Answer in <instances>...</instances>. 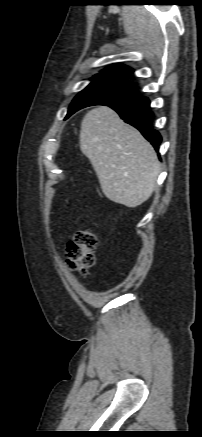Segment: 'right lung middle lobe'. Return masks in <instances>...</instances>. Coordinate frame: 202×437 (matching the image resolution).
Here are the masks:
<instances>
[{
	"label": "right lung middle lobe",
	"mask_w": 202,
	"mask_h": 437,
	"mask_svg": "<svg viewBox=\"0 0 202 437\" xmlns=\"http://www.w3.org/2000/svg\"><path fill=\"white\" fill-rule=\"evenodd\" d=\"M127 78L110 72L95 75L92 82L74 98L67 117L87 106L112 104L137 98L136 87Z\"/></svg>",
	"instance_id": "1"
}]
</instances>
